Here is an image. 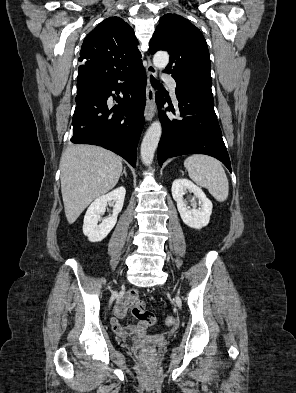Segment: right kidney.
Here are the masks:
<instances>
[{
	"label": "right kidney",
	"mask_w": 296,
	"mask_h": 393,
	"mask_svg": "<svg viewBox=\"0 0 296 393\" xmlns=\"http://www.w3.org/2000/svg\"><path fill=\"white\" fill-rule=\"evenodd\" d=\"M125 194V188L119 187L106 195L98 197L89 206L84 216L83 233L90 242L102 241L113 229L117 222V216L123 208ZM107 202L115 203L113 214L103 219L101 224L98 225L101 215L106 210Z\"/></svg>",
	"instance_id": "ca27d5eb"
}]
</instances>
